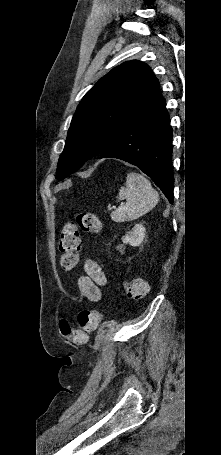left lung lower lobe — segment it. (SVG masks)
Returning a JSON list of instances; mask_svg holds the SVG:
<instances>
[{
  "label": "left lung lower lobe",
  "mask_w": 221,
  "mask_h": 455,
  "mask_svg": "<svg viewBox=\"0 0 221 455\" xmlns=\"http://www.w3.org/2000/svg\"><path fill=\"white\" fill-rule=\"evenodd\" d=\"M172 134L166 101L162 97L154 107L126 126L99 155L139 167L173 203Z\"/></svg>",
  "instance_id": "1"
}]
</instances>
